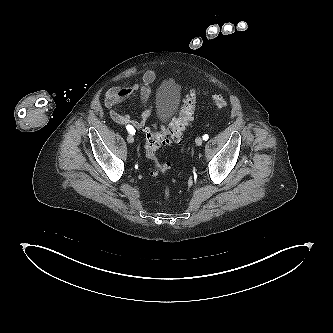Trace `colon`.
Segmentation results:
<instances>
[{
  "label": "colon",
  "mask_w": 333,
  "mask_h": 333,
  "mask_svg": "<svg viewBox=\"0 0 333 333\" xmlns=\"http://www.w3.org/2000/svg\"><path fill=\"white\" fill-rule=\"evenodd\" d=\"M197 97L198 92L196 90H191L189 94L184 98L180 112L177 117H175L166 127L163 128H146V142H145V154L148 160L153 162V169L151 174L154 177L159 175H164L170 169V163H158L156 161V156L158 151L163 145L167 143H180L183 134L188 129L190 123L195 117L197 110ZM212 102L214 107L223 111L227 108L226 99L219 95H212ZM165 197L170 194V188L166 187L164 191Z\"/></svg>",
  "instance_id": "1"
}]
</instances>
